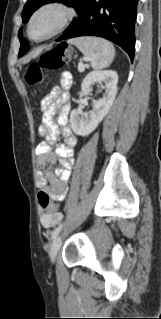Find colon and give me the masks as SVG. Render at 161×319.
Here are the masks:
<instances>
[{"instance_id":"colon-1","label":"colon","mask_w":161,"mask_h":319,"mask_svg":"<svg viewBox=\"0 0 161 319\" xmlns=\"http://www.w3.org/2000/svg\"><path fill=\"white\" fill-rule=\"evenodd\" d=\"M72 50L67 45H58L55 48L44 53L40 59L31 63L26 71V81L30 85H36L43 82V68L57 70L62 68L70 59ZM39 203L44 209H57L53 204L47 192L39 193Z\"/></svg>"}]
</instances>
